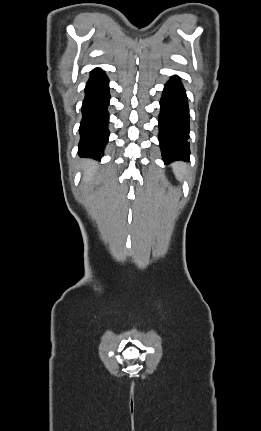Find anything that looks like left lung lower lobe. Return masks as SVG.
<instances>
[{
	"mask_svg": "<svg viewBox=\"0 0 261 431\" xmlns=\"http://www.w3.org/2000/svg\"><path fill=\"white\" fill-rule=\"evenodd\" d=\"M189 109L179 77L165 85L160 100L159 142L164 162L189 160Z\"/></svg>",
	"mask_w": 261,
	"mask_h": 431,
	"instance_id": "1",
	"label": "left lung lower lobe"
}]
</instances>
